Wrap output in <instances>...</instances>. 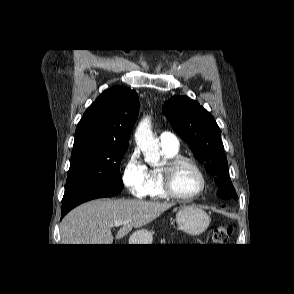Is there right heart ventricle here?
<instances>
[{
	"mask_svg": "<svg viewBox=\"0 0 294 294\" xmlns=\"http://www.w3.org/2000/svg\"><path fill=\"white\" fill-rule=\"evenodd\" d=\"M162 151L167 159L178 155V149L169 150L162 148ZM147 194L150 198L157 200H166L169 198L162 187V175L160 168H153L149 170V184Z\"/></svg>",
	"mask_w": 294,
	"mask_h": 294,
	"instance_id": "obj_1",
	"label": "right heart ventricle"
}]
</instances>
